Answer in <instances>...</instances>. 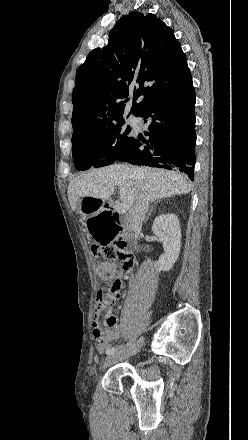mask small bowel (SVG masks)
Returning <instances> with one entry per match:
<instances>
[{
  "label": "small bowel",
  "mask_w": 248,
  "mask_h": 440,
  "mask_svg": "<svg viewBox=\"0 0 248 440\" xmlns=\"http://www.w3.org/2000/svg\"><path fill=\"white\" fill-rule=\"evenodd\" d=\"M116 274L120 276L122 273L118 271ZM104 309L105 308L96 304L93 314L92 332L96 341V350L98 353H104L107 351V349L110 348L111 342L117 340L121 333L120 327L117 324V319L111 310L107 311L105 317L107 328H101L99 317Z\"/></svg>",
  "instance_id": "small-bowel-1"
}]
</instances>
